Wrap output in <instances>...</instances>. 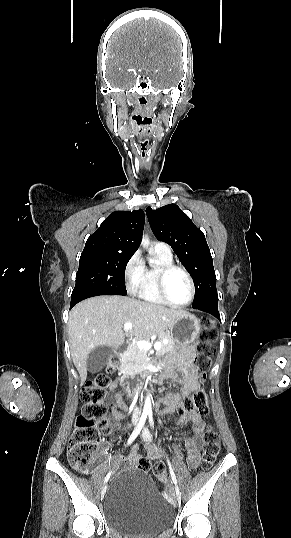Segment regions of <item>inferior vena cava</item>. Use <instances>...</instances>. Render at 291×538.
Here are the masks:
<instances>
[{"label": "inferior vena cava", "instance_id": "obj_1", "mask_svg": "<svg viewBox=\"0 0 291 538\" xmlns=\"http://www.w3.org/2000/svg\"><path fill=\"white\" fill-rule=\"evenodd\" d=\"M139 417H140V410H139V408L137 406H134L133 407V414H132V421L134 423L138 422Z\"/></svg>", "mask_w": 291, "mask_h": 538}]
</instances>
